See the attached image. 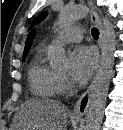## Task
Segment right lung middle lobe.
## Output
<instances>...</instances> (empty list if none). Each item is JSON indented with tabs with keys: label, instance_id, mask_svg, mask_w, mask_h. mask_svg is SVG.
<instances>
[{
	"label": "right lung middle lobe",
	"instance_id": "1",
	"mask_svg": "<svg viewBox=\"0 0 123 130\" xmlns=\"http://www.w3.org/2000/svg\"><path fill=\"white\" fill-rule=\"evenodd\" d=\"M26 58V55L23 56V60Z\"/></svg>",
	"mask_w": 123,
	"mask_h": 130
}]
</instances>
